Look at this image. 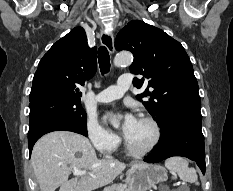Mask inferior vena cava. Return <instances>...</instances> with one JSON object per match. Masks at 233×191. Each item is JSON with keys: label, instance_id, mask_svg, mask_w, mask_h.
<instances>
[{"label": "inferior vena cava", "instance_id": "1", "mask_svg": "<svg viewBox=\"0 0 233 191\" xmlns=\"http://www.w3.org/2000/svg\"><path fill=\"white\" fill-rule=\"evenodd\" d=\"M106 158H111L110 156H106Z\"/></svg>", "mask_w": 233, "mask_h": 191}]
</instances>
